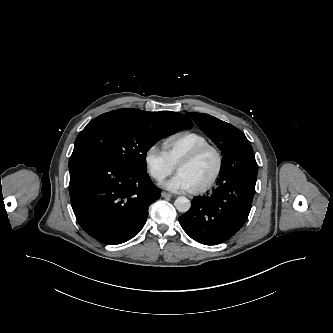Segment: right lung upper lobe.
Segmentation results:
<instances>
[{"mask_svg": "<svg viewBox=\"0 0 333 333\" xmlns=\"http://www.w3.org/2000/svg\"><path fill=\"white\" fill-rule=\"evenodd\" d=\"M119 112H127L136 115L144 120H149L153 122H165L169 120H175L177 122L183 123L188 127H192V121L185 115L177 112H146L137 109H120L115 110Z\"/></svg>", "mask_w": 333, "mask_h": 333, "instance_id": "right-lung-upper-lobe-1", "label": "right lung upper lobe"}]
</instances>
